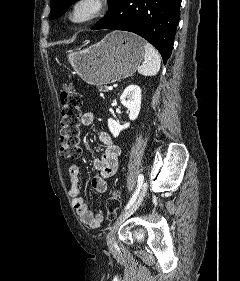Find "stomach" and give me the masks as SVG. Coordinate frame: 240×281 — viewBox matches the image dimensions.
<instances>
[{
    "label": "stomach",
    "mask_w": 240,
    "mask_h": 281,
    "mask_svg": "<svg viewBox=\"0 0 240 281\" xmlns=\"http://www.w3.org/2000/svg\"><path fill=\"white\" fill-rule=\"evenodd\" d=\"M144 45L137 35L115 31L85 50L70 52L68 61L88 84H109L137 70L145 54Z\"/></svg>",
    "instance_id": "obj_1"
}]
</instances>
